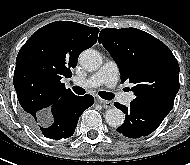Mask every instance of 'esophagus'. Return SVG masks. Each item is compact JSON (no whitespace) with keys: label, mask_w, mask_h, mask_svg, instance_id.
Returning a JSON list of instances; mask_svg holds the SVG:
<instances>
[{"label":"esophagus","mask_w":190,"mask_h":165,"mask_svg":"<svg viewBox=\"0 0 190 165\" xmlns=\"http://www.w3.org/2000/svg\"><path fill=\"white\" fill-rule=\"evenodd\" d=\"M98 102L102 104L105 109H109L113 107V103L111 101L99 99Z\"/></svg>","instance_id":"obj_1"}]
</instances>
